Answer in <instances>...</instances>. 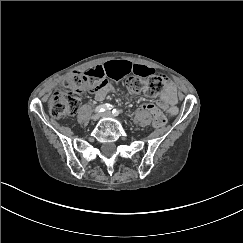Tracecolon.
<instances>
[{
  "instance_id": "colon-1",
  "label": "colon",
  "mask_w": 243,
  "mask_h": 243,
  "mask_svg": "<svg viewBox=\"0 0 243 243\" xmlns=\"http://www.w3.org/2000/svg\"><path fill=\"white\" fill-rule=\"evenodd\" d=\"M99 85V77L88 73H73L66 77L61 83V88L54 92L49 100V114L53 118L73 115L79 107L82 95L97 90ZM126 88L130 93H144L149 97H156L166 89V83L161 77H130L126 82ZM143 109L152 114L154 127L161 128L167 124V118L154 105L145 104Z\"/></svg>"
}]
</instances>
